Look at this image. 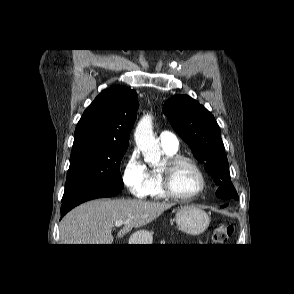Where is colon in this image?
Instances as JSON below:
<instances>
[{
	"mask_svg": "<svg viewBox=\"0 0 294 294\" xmlns=\"http://www.w3.org/2000/svg\"><path fill=\"white\" fill-rule=\"evenodd\" d=\"M233 234V226L230 224H218L212 234L213 243L216 245H224Z\"/></svg>",
	"mask_w": 294,
	"mask_h": 294,
	"instance_id": "colon-1",
	"label": "colon"
}]
</instances>
